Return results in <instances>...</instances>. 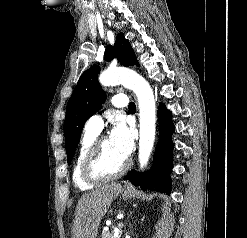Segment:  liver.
Masks as SVG:
<instances>
[{
    "label": "liver",
    "mask_w": 247,
    "mask_h": 238,
    "mask_svg": "<svg viewBox=\"0 0 247 238\" xmlns=\"http://www.w3.org/2000/svg\"><path fill=\"white\" fill-rule=\"evenodd\" d=\"M121 191L119 183H112L84 194L76 207L72 238H96L102 217Z\"/></svg>",
    "instance_id": "1"
}]
</instances>
